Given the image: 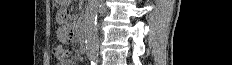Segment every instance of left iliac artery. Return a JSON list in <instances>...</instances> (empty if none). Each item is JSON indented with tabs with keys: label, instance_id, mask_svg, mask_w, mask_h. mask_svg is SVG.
<instances>
[{
	"label": "left iliac artery",
	"instance_id": "1",
	"mask_svg": "<svg viewBox=\"0 0 232 65\" xmlns=\"http://www.w3.org/2000/svg\"><path fill=\"white\" fill-rule=\"evenodd\" d=\"M98 59L96 57L91 58V65H97Z\"/></svg>",
	"mask_w": 232,
	"mask_h": 65
}]
</instances>
